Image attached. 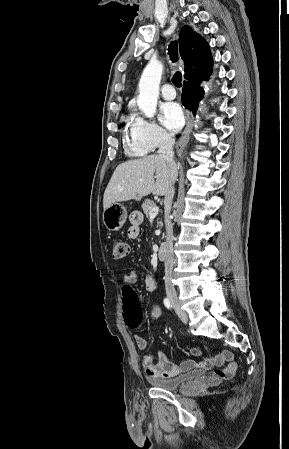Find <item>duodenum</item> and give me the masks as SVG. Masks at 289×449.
I'll return each mask as SVG.
<instances>
[{"mask_svg":"<svg viewBox=\"0 0 289 449\" xmlns=\"http://www.w3.org/2000/svg\"><path fill=\"white\" fill-rule=\"evenodd\" d=\"M168 245L166 242H161L158 245L157 255L160 260H164L167 256Z\"/></svg>","mask_w":289,"mask_h":449,"instance_id":"410a0bca","label":"duodenum"}]
</instances>
